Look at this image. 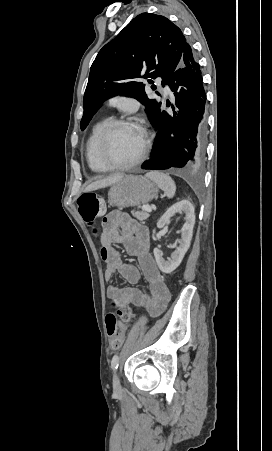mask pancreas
<instances>
[{
    "label": "pancreas",
    "instance_id": "obj_1",
    "mask_svg": "<svg viewBox=\"0 0 272 451\" xmlns=\"http://www.w3.org/2000/svg\"><path fill=\"white\" fill-rule=\"evenodd\" d=\"M131 214L134 218H136V220H140V222H143V220H147V218H149V214H147V212H135V210H132Z\"/></svg>",
    "mask_w": 272,
    "mask_h": 451
}]
</instances>
